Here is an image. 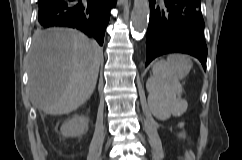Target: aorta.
<instances>
[{
    "label": "aorta",
    "instance_id": "1",
    "mask_svg": "<svg viewBox=\"0 0 242 160\" xmlns=\"http://www.w3.org/2000/svg\"><path fill=\"white\" fill-rule=\"evenodd\" d=\"M149 22V1L135 0L134 10L131 17L133 31L142 34L145 32Z\"/></svg>",
    "mask_w": 242,
    "mask_h": 160
}]
</instances>
